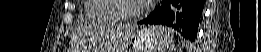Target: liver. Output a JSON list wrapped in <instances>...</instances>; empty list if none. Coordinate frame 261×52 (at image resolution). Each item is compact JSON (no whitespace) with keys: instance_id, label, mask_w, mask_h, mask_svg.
<instances>
[{"instance_id":"1","label":"liver","mask_w":261,"mask_h":52,"mask_svg":"<svg viewBox=\"0 0 261 52\" xmlns=\"http://www.w3.org/2000/svg\"><path fill=\"white\" fill-rule=\"evenodd\" d=\"M130 30V27H107L106 31H104L102 34L103 43H101L100 46L101 50L102 45H104L105 49L107 50L120 46L122 44V39L128 34Z\"/></svg>"}]
</instances>
